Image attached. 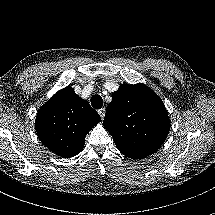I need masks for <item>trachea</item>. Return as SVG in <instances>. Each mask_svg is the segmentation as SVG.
<instances>
[{
  "label": "trachea",
  "mask_w": 215,
  "mask_h": 215,
  "mask_svg": "<svg viewBox=\"0 0 215 215\" xmlns=\"http://www.w3.org/2000/svg\"><path fill=\"white\" fill-rule=\"evenodd\" d=\"M91 105L95 109H101L103 106L102 97L98 94H95L91 97Z\"/></svg>",
  "instance_id": "3493384b"
}]
</instances>
